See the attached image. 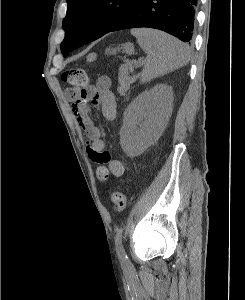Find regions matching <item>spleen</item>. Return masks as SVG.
Returning a JSON list of instances; mask_svg holds the SVG:
<instances>
[{"mask_svg":"<svg viewBox=\"0 0 245 300\" xmlns=\"http://www.w3.org/2000/svg\"><path fill=\"white\" fill-rule=\"evenodd\" d=\"M141 48L147 53L141 81L147 82L186 65L189 53L178 39L153 29H133Z\"/></svg>","mask_w":245,"mask_h":300,"instance_id":"1","label":"spleen"}]
</instances>
